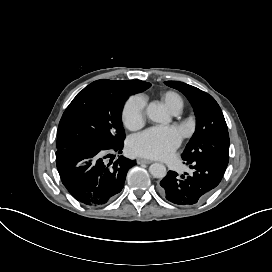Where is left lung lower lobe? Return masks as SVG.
Instances as JSON below:
<instances>
[{
    "label": "left lung lower lobe",
    "instance_id": "left-lung-lower-lobe-1",
    "mask_svg": "<svg viewBox=\"0 0 272 272\" xmlns=\"http://www.w3.org/2000/svg\"><path fill=\"white\" fill-rule=\"evenodd\" d=\"M195 169L193 176L180 179L174 171H169L160 182V192L174 204L190 206L205 198L221 181L225 166L212 161L187 162Z\"/></svg>",
    "mask_w": 272,
    "mask_h": 272
}]
</instances>
